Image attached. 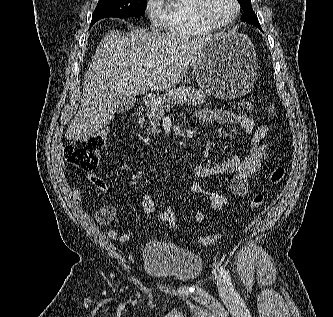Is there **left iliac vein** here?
Listing matches in <instances>:
<instances>
[{
	"instance_id": "left-iliac-vein-1",
	"label": "left iliac vein",
	"mask_w": 333,
	"mask_h": 317,
	"mask_svg": "<svg viewBox=\"0 0 333 317\" xmlns=\"http://www.w3.org/2000/svg\"><path fill=\"white\" fill-rule=\"evenodd\" d=\"M217 288H218V292H219L220 296L223 299H228L230 297L227 286L221 276L217 277Z\"/></svg>"
}]
</instances>
